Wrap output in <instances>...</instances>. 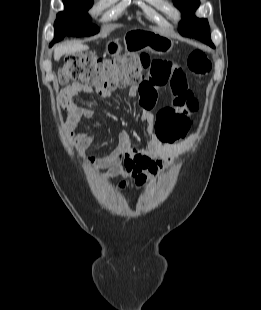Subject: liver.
I'll use <instances>...</instances> for the list:
<instances>
[{"label":"liver","mask_w":261,"mask_h":310,"mask_svg":"<svg viewBox=\"0 0 261 310\" xmlns=\"http://www.w3.org/2000/svg\"><path fill=\"white\" fill-rule=\"evenodd\" d=\"M87 45H83L81 42L68 43L66 45H61L56 47L54 50V60H59L65 54H73L88 50Z\"/></svg>","instance_id":"liver-1"}]
</instances>
